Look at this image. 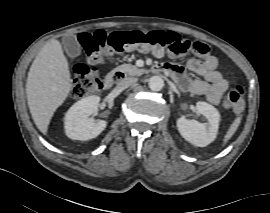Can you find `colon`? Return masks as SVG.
<instances>
[{"label": "colon", "instance_id": "1", "mask_svg": "<svg viewBox=\"0 0 270 213\" xmlns=\"http://www.w3.org/2000/svg\"><path fill=\"white\" fill-rule=\"evenodd\" d=\"M85 49L90 66L74 68L72 95L85 97L102 88V80L93 66L110 56L125 50L148 52L162 56L165 52L182 54L194 52L199 56L207 53L208 47L200 41H191L174 32L166 31H130L108 34L105 31L84 32L78 38ZM244 104V89L240 84H233L225 94L222 106L225 109H241Z\"/></svg>", "mask_w": 270, "mask_h": 213}]
</instances>
